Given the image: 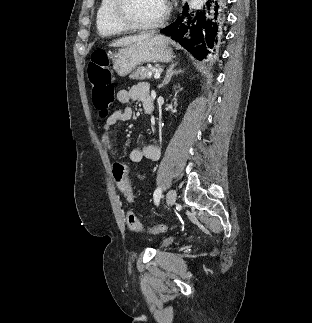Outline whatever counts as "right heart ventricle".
<instances>
[{"mask_svg":"<svg viewBox=\"0 0 312 323\" xmlns=\"http://www.w3.org/2000/svg\"><path fill=\"white\" fill-rule=\"evenodd\" d=\"M96 20L97 29H102V33H120V29H126L127 23L121 22L115 1L99 0L96 3Z\"/></svg>","mask_w":312,"mask_h":323,"instance_id":"1","label":"right heart ventricle"}]
</instances>
